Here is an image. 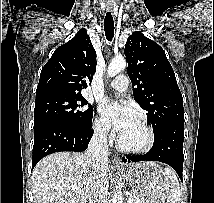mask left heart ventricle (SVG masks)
I'll return each mask as SVG.
<instances>
[{
  "mask_svg": "<svg viewBox=\"0 0 214 203\" xmlns=\"http://www.w3.org/2000/svg\"><path fill=\"white\" fill-rule=\"evenodd\" d=\"M121 135L122 142L128 146H140L146 141V132L137 121Z\"/></svg>",
  "mask_w": 214,
  "mask_h": 203,
  "instance_id": "b2bd125f",
  "label": "left heart ventricle"
}]
</instances>
